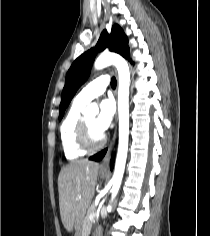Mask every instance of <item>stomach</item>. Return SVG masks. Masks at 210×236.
Returning a JSON list of instances; mask_svg holds the SVG:
<instances>
[{
    "instance_id": "1",
    "label": "stomach",
    "mask_w": 210,
    "mask_h": 236,
    "mask_svg": "<svg viewBox=\"0 0 210 236\" xmlns=\"http://www.w3.org/2000/svg\"><path fill=\"white\" fill-rule=\"evenodd\" d=\"M101 177H102V178H105V177H106V175H105V174H101Z\"/></svg>"
}]
</instances>
